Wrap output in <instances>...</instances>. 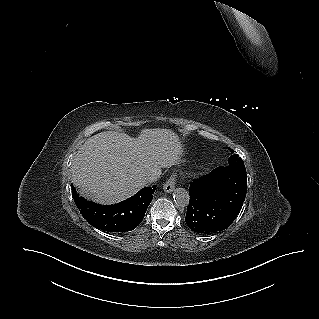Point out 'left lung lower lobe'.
<instances>
[{
  "instance_id": "obj_1",
  "label": "left lung lower lobe",
  "mask_w": 319,
  "mask_h": 319,
  "mask_svg": "<svg viewBox=\"0 0 319 319\" xmlns=\"http://www.w3.org/2000/svg\"><path fill=\"white\" fill-rule=\"evenodd\" d=\"M247 192L245 167L220 166L195 179L185 221L198 233H215L228 228L239 214Z\"/></svg>"
}]
</instances>
